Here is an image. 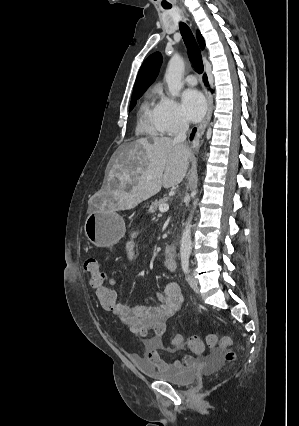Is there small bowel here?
<instances>
[{"label":"small bowel","mask_w":299,"mask_h":426,"mask_svg":"<svg viewBox=\"0 0 299 426\" xmlns=\"http://www.w3.org/2000/svg\"><path fill=\"white\" fill-rule=\"evenodd\" d=\"M126 250L129 259H134L135 249L132 241L127 244ZM163 265L169 271H174L176 268L175 260L164 258ZM106 280L112 287L117 284V279L113 276H106ZM157 299L159 303L156 306H129L118 301L110 311L127 325L130 332L141 336L146 360L157 368H164L170 366V363L162 357V351H174L173 348H166L164 344L166 322L181 308L183 296L180 287L170 282L162 293H157ZM133 359L138 360L139 357L135 355ZM196 362L194 356L185 355L181 360L175 361L174 365L193 367Z\"/></svg>","instance_id":"small-bowel-1"}]
</instances>
